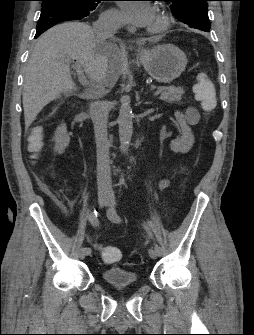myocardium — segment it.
I'll return each instance as SVG.
<instances>
[{"label":"myocardium","mask_w":254,"mask_h":335,"mask_svg":"<svg viewBox=\"0 0 254 335\" xmlns=\"http://www.w3.org/2000/svg\"><path fill=\"white\" fill-rule=\"evenodd\" d=\"M169 26H170L169 19L165 15L159 14L157 16V24L152 28V31L163 32L167 30Z\"/></svg>","instance_id":"1"}]
</instances>
